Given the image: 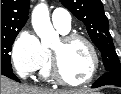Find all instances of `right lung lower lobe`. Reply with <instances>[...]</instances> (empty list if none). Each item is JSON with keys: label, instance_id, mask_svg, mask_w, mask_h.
<instances>
[{"label": "right lung lower lobe", "instance_id": "98d812e1", "mask_svg": "<svg viewBox=\"0 0 121 94\" xmlns=\"http://www.w3.org/2000/svg\"><path fill=\"white\" fill-rule=\"evenodd\" d=\"M1 75H4L10 79L17 81V82H20L19 79L16 77V75L12 71L1 70Z\"/></svg>", "mask_w": 121, "mask_h": 94}]
</instances>
